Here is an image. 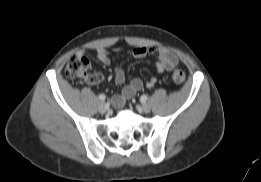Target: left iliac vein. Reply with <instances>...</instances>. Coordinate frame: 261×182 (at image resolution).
Returning a JSON list of instances; mask_svg holds the SVG:
<instances>
[{
	"label": "left iliac vein",
	"mask_w": 261,
	"mask_h": 182,
	"mask_svg": "<svg viewBox=\"0 0 261 182\" xmlns=\"http://www.w3.org/2000/svg\"><path fill=\"white\" fill-rule=\"evenodd\" d=\"M141 110L144 112V113H149L150 112V106L146 103L142 104L140 106Z\"/></svg>",
	"instance_id": "left-iliac-vein-1"
}]
</instances>
